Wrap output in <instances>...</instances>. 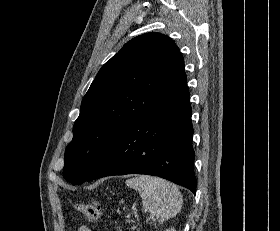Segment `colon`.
Returning a JSON list of instances; mask_svg holds the SVG:
<instances>
[{
	"label": "colon",
	"instance_id": "obj_1",
	"mask_svg": "<svg viewBox=\"0 0 280 231\" xmlns=\"http://www.w3.org/2000/svg\"><path fill=\"white\" fill-rule=\"evenodd\" d=\"M76 209L83 213L91 223H96L102 216V209L99 203L76 202Z\"/></svg>",
	"mask_w": 280,
	"mask_h": 231
}]
</instances>
